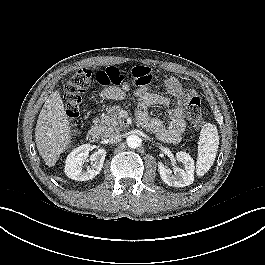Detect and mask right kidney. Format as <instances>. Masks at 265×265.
<instances>
[{
	"mask_svg": "<svg viewBox=\"0 0 265 265\" xmlns=\"http://www.w3.org/2000/svg\"><path fill=\"white\" fill-rule=\"evenodd\" d=\"M90 144H84L74 149L66 159L65 174L77 181H87L98 175L103 167L106 157L105 149H98L90 156L91 168L83 169L84 162L88 159Z\"/></svg>",
	"mask_w": 265,
	"mask_h": 265,
	"instance_id": "ca27d5eb",
	"label": "right kidney"
}]
</instances>
